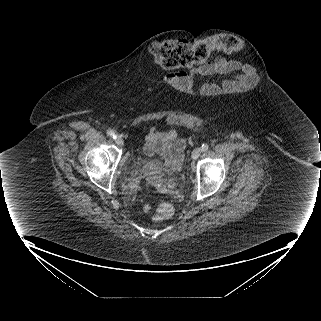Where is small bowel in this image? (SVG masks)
<instances>
[{"label": "small bowel", "instance_id": "1", "mask_svg": "<svg viewBox=\"0 0 321 321\" xmlns=\"http://www.w3.org/2000/svg\"><path fill=\"white\" fill-rule=\"evenodd\" d=\"M235 72V80L225 79L221 88L225 92H240L245 86L253 87L256 84V77L252 67L239 65L237 62L227 60L223 57L215 61L195 66L188 71L171 73L167 80L183 90H191L195 86V80L199 76ZM200 97L207 95H218L220 86L217 83H204L196 88ZM186 146L184 139L180 138L177 130L171 129L167 132H160L151 127L145 137L144 152L149 156L158 155L164 161L169 171H175L182 161L183 150Z\"/></svg>", "mask_w": 321, "mask_h": 321}]
</instances>
